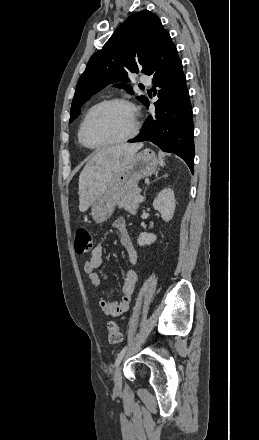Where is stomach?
<instances>
[{
    "instance_id": "1",
    "label": "stomach",
    "mask_w": 259,
    "mask_h": 440,
    "mask_svg": "<svg viewBox=\"0 0 259 440\" xmlns=\"http://www.w3.org/2000/svg\"><path fill=\"white\" fill-rule=\"evenodd\" d=\"M158 159L150 149L135 154L119 173L115 174L105 192L92 204L91 215L95 223L107 221L113 214L116 205L138 182L155 173Z\"/></svg>"
}]
</instances>
